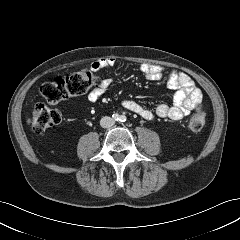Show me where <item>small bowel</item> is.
<instances>
[{"label": "small bowel", "instance_id": "small-bowel-1", "mask_svg": "<svg viewBox=\"0 0 240 240\" xmlns=\"http://www.w3.org/2000/svg\"><path fill=\"white\" fill-rule=\"evenodd\" d=\"M116 64L113 57L100 58L90 64V69L100 71L103 69H111ZM139 71L150 81H160L165 75L167 76V84L175 90L173 104H159L155 109H149L144 105L132 99L122 101V106L141 116L146 120H153L156 117L168 118L172 120L182 119L188 115L202 100V92L195 85L194 81L185 73L175 70L166 71L164 68L152 65L141 64ZM113 80L111 78H102L98 84L88 94L91 102H96L110 88Z\"/></svg>", "mask_w": 240, "mask_h": 240}]
</instances>
